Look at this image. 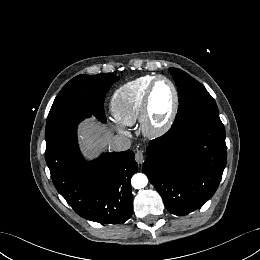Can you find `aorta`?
<instances>
[{
  "mask_svg": "<svg viewBox=\"0 0 260 260\" xmlns=\"http://www.w3.org/2000/svg\"><path fill=\"white\" fill-rule=\"evenodd\" d=\"M147 183H148V178L143 173H136L133 175V177L131 179V185L135 189H142V188L146 187Z\"/></svg>",
  "mask_w": 260,
  "mask_h": 260,
  "instance_id": "aorta-1",
  "label": "aorta"
}]
</instances>
